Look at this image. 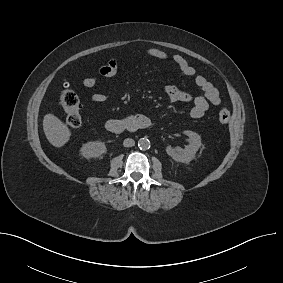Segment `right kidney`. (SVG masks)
Instances as JSON below:
<instances>
[{
    "instance_id": "obj_1",
    "label": "right kidney",
    "mask_w": 283,
    "mask_h": 283,
    "mask_svg": "<svg viewBox=\"0 0 283 283\" xmlns=\"http://www.w3.org/2000/svg\"><path fill=\"white\" fill-rule=\"evenodd\" d=\"M106 152L105 144L99 141L85 143L81 148V153L85 158H99Z\"/></svg>"
}]
</instances>
